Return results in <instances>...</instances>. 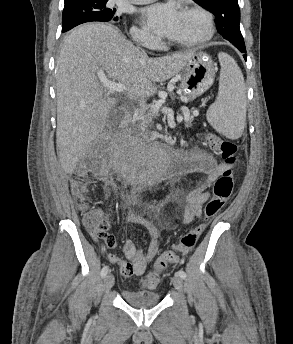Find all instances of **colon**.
Here are the masks:
<instances>
[{"instance_id": "obj_1", "label": "colon", "mask_w": 293, "mask_h": 344, "mask_svg": "<svg viewBox=\"0 0 293 344\" xmlns=\"http://www.w3.org/2000/svg\"><path fill=\"white\" fill-rule=\"evenodd\" d=\"M206 144L221 156L228 167L214 183L213 196L208 200L205 206L204 222L195 226L181 238L179 243L173 245L171 249L161 254L154 265V269L142 279V284L146 288H156L160 280L159 273L169 264L174 263L179 257L195 247L199 237L205 229L206 222L213 218L224 207L233 193V166L238 161L237 146L233 142L224 140L212 133L206 135ZM86 185V179L83 176L77 177L74 182L73 193L77 201L78 209L83 216L84 223L90 229L92 235L95 237H104L108 233V224L103 219L100 210L90 207Z\"/></svg>"}]
</instances>
